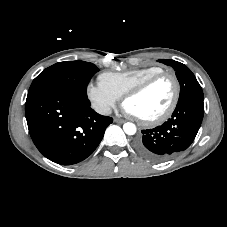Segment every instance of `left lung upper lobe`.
<instances>
[{"label":"left lung upper lobe","instance_id":"obj_1","mask_svg":"<svg viewBox=\"0 0 227 227\" xmlns=\"http://www.w3.org/2000/svg\"><path fill=\"white\" fill-rule=\"evenodd\" d=\"M158 61L170 65L176 71V76L180 83V96L178 101L191 96L203 97L200 84L186 65L174 60L159 59Z\"/></svg>","mask_w":227,"mask_h":227}]
</instances>
